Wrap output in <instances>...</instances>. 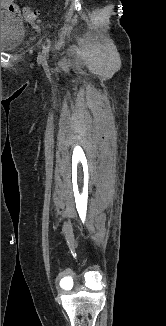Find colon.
I'll list each match as a JSON object with an SVG mask.
<instances>
[{
  "mask_svg": "<svg viewBox=\"0 0 166 326\" xmlns=\"http://www.w3.org/2000/svg\"><path fill=\"white\" fill-rule=\"evenodd\" d=\"M24 14H25L26 20L31 21V22L35 21L38 17V13L34 10H31L28 7L24 8Z\"/></svg>",
  "mask_w": 166,
  "mask_h": 326,
  "instance_id": "obj_1",
  "label": "colon"
}]
</instances>
